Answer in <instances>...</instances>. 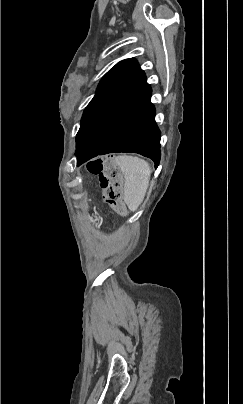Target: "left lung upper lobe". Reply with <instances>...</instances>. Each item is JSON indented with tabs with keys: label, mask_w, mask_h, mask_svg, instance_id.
Masks as SVG:
<instances>
[{
	"label": "left lung upper lobe",
	"mask_w": 243,
	"mask_h": 404,
	"mask_svg": "<svg viewBox=\"0 0 243 404\" xmlns=\"http://www.w3.org/2000/svg\"><path fill=\"white\" fill-rule=\"evenodd\" d=\"M145 82L146 76L133 58L120 61L104 75L81 118L76 153L98 118Z\"/></svg>",
	"instance_id": "1"
}]
</instances>
